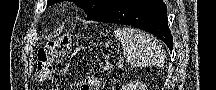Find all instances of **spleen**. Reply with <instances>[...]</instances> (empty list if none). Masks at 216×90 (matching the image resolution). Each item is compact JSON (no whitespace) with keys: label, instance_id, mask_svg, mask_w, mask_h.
I'll list each match as a JSON object with an SVG mask.
<instances>
[{"label":"spleen","instance_id":"spleen-1","mask_svg":"<svg viewBox=\"0 0 216 90\" xmlns=\"http://www.w3.org/2000/svg\"><path fill=\"white\" fill-rule=\"evenodd\" d=\"M115 38L121 42L126 62L135 68L153 66L159 62V58L162 56V46L158 40L142 30L120 28L115 32Z\"/></svg>","mask_w":216,"mask_h":90}]
</instances>
